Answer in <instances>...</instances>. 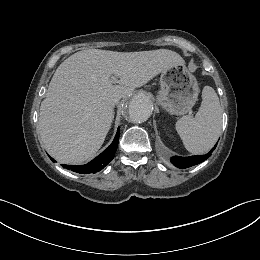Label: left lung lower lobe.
<instances>
[{"label":"left lung lower lobe","instance_id":"obj_1","mask_svg":"<svg viewBox=\"0 0 260 260\" xmlns=\"http://www.w3.org/2000/svg\"><path fill=\"white\" fill-rule=\"evenodd\" d=\"M211 152L212 150L209 153L201 156H190V157L174 156L171 158V163L180 169L189 168L191 166L200 164L206 159H208L211 156L210 154Z\"/></svg>","mask_w":260,"mask_h":260}]
</instances>
